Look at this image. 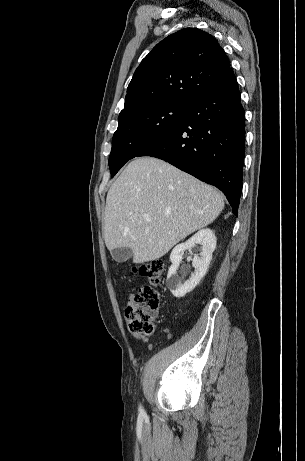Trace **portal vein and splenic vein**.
I'll use <instances>...</instances> for the list:
<instances>
[{
  "instance_id": "portal-vein-and-splenic-vein-1",
  "label": "portal vein and splenic vein",
  "mask_w": 305,
  "mask_h": 461,
  "mask_svg": "<svg viewBox=\"0 0 305 461\" xmlns=\"http://www.w3.org/2000/svg\"><path fill=\"white\" fill-rule=\"evenodd\" d=\"M144 218H145V220H147V221H151V218H150V216H149L148 214H145V215H144Z\"/></svg>"
}]
</instances>
